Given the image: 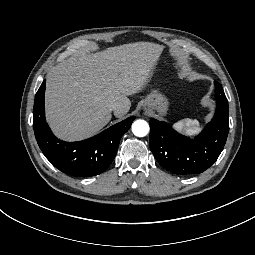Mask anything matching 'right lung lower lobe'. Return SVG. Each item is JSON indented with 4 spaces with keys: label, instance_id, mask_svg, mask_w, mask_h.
I'll return each instance as SVG.
<instances>
[{
    "label": "right lung lower lobe",
    "instance_id": "1",
    "mask_svg": "<svg viewBox=\"0 0 255 255\" xmlns=\"http://www.w3.org/2000/svg\"><path fill=\"white\" fill-rule=\"evenodd\" d=\"M43 81L35 96L33 128L35 138L45 157L63 173L89 177L104 172L114 160L121 137L129 130L131 116L113 125L100 134L79 142H64L57 139L45 121Z\"/></svg>",
    "mask_w": 255,
    "mask_h": 255
}]
</instances>
